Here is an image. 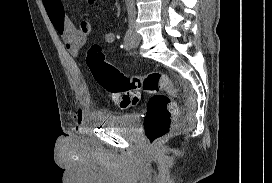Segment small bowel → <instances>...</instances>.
I'll return each mask as SVG.
<instances>
[{"label":"small bowel","mask_w":272,"mask_h":183,"mask_svg":"<svg viewBox=\"0 0 272 183\" xmlns=\"http://www.w3.org/2000/svg\"><path fill=\"white\" fill-rule=\"evenodd\" d=\"M44 7L55 30L62 37L67 50L74 56H78L91 32L89 22L82 20L75 25L66 15L63 0H43ZM117 35L113 32H106L103 35V41L106 44H112L116 41ZM74 120L77 124L83 121L82 112L74 113Z\"/></svg>","instance_id":"obj_1"}]
</instances>
